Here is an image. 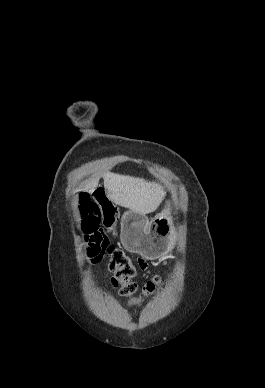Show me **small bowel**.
Masks as SVG:
<instances>
[{"instance_id":"1","label":"small bowel","mask_w":265,"mask_h":388,"mask_svg":"<svg viewBox=\"0 0 265 388\" xmlns=\"http://www.w3.org/2000/svg\"><path fill=\"white\" fill-rule=\"evenodd\" d=\"M139 266L141 267L142 270H145L147 267V264L144 261H139Z\"/></svg>"}]
</instances>
